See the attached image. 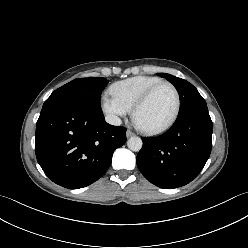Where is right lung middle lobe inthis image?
Listing matches in <instances>:
<instances>
[{"instance_id": "right-lung-middle-lobe-1", "label": "right lung middle lobe", "mask_w": 248, "mask_h": 248, "mask_svg": "<svg viewBox=\"0 0 248 248\" xmlns=\"http://www.w3.org/2000/svg\"><path fill=\"white\" fill-rule=\"evenodd\" d=\"M105 78H77L55 90L44 102L43 107L57 103H73L95 112H102L101 92L107 85Z\"/></svg>"}]
</instances>
